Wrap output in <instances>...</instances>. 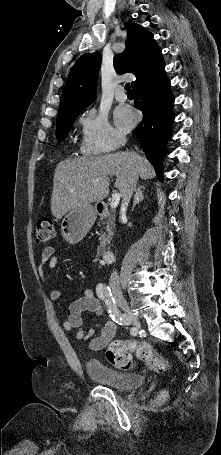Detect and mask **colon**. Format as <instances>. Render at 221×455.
Returning <instances> with one entry per match:
<instances>
[{
    "label": "colon",
    "instance_id": "5ec220e1",
    "mask_svg": "<svg viewBox=\"0 0 221 455\" xmlns=\"http://www.w3.org/2000/svg\"><path fill=\"white\" fill-rule=\"evenodd\" d=\"M55 238L54 221L50 217L41 218L35 229V239L40 244L50 243ZM134 353L138 359L145 362L151 370L163 372L168 369L167 361L156 353L148 342L115 339L106 349V359L113 366L120 369H131L135 366L132 358ZM166 393L162 392L158 400L163 401Z\"/></svg>",
    "mask_w": 221,
    "mask_h": 455
}]
</instances>
